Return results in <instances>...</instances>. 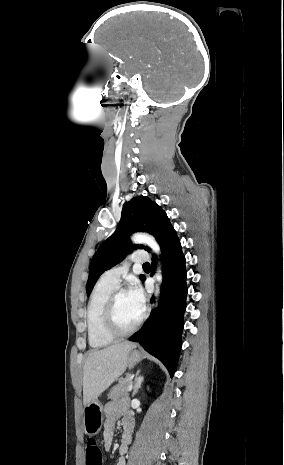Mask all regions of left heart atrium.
I'll return each mask as SVG.
<instances>
[{
    "mask_svg": "<svg viewBox=\"0 0 284 465\" xmlns=\"http://www.w3.org/2000/svg\"><path fill=\"white\" fill-rule=\"evenodd\" d=\"M127 295L132 305L142 313L145 308V295L140 285L133 283Z\"/></svg>",
    "mask_w": 284,
    "mask_h": 465,
    "instance_id": "left-heart-atrium-1",
    "label": "left heart atrium"
}]
</instances>
